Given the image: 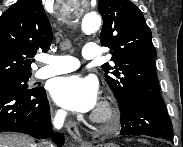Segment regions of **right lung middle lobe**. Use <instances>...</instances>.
Listing matches in <instances>:
<instances>
[{
	"mask_svg": "<svg viewBox=\"0 0 183 147\" xmlns=\"http://www.w3.org/2000/svg\"><path fill=\"white\" fill-rule=\"evenodd\" d=\"M31 75L29 76H24V77H18V78H12V79H6V80H0V89H5V88H22V89H28V79L30 78Z\"/></svg>",
	"mask_w": 183,
	"mask_h": 147,
	"instance_id": "right-lung-middle-lobe-1",
	"label": "right lung middle lobe"
}]
</instances>
